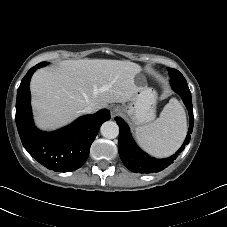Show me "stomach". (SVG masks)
Returning a JSON list of instances; mask_svg holds the SVG:
<instances>
[{"label":"stomach","mask_w":227,"mask_h":227,"mask_svg":"<svg viewBox=\"0 0 227 227\" xmlns=\"http://www.w3.org/2000/svg\"><path fill=\"white\" fill-rule=\"evenodd\" d=\"M138 92L128 105L122 107V111L129 115L135 125L151 122L155 118L156 92L147 87L143 78H136Z\"/></svg>","instance_id":"1"}]
</instances>
